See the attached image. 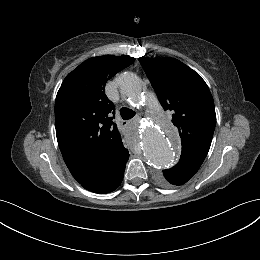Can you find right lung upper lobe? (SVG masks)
<instances>
[{"instance_id":"right-lung-upper-lobe-1","label":"right lung upper lobe","mask_w":260,"mask_h":260,"mask_svg":"<svg viewBox=\"0 0 260 260\" xmlns=\"http://www.w3.org/2000/svg\"><path fill=\"white\" fill-rule=\"evenodd\" d=\"M135 61L104 55L81 63L64 79L55 101L56 136L72 176L84 183L115 168L129 153L116 124L105 83Z\"/></svg>"}]
</instances>
